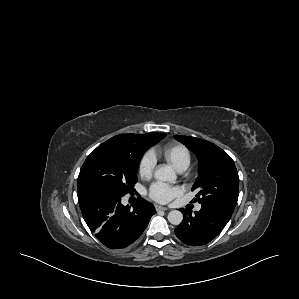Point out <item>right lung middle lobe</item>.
<instances>
[{"instance_id":"obj_1","label":"right lung middle lobe","mask_w":299,"mask_h":299,"mask_svg":"<svg viewBox=\"0 0 299 299\" xmlns=\"http://www.w3.org/2000/svg\"><path fill=\"white\" fill-rule=\"evenodd\" d=\"M166 136L149 133L134 153L121 150L109 140L99 145L86 158L80 170L77 191L86 188L103 189L124 196L134 189L137 168L143 153Z\"/></svg>"}]
</instances>
